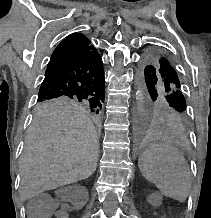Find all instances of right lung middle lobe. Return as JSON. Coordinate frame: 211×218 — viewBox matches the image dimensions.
Returning <instances> with one entry per match:
<instances>
[{
  "label": "right lung middle lobe",
  "mask_w": 211,
  "mask_h": 218,
  "mask_svg": "<svg viewBox=\"0 0 211 218\" xmlns=\"http://www.w3.org/2000/svg\"><path fill=\"white\" fill-rule=\"evenodd\" d=\"M65 105H81L94 114H98L102 108L100 101L90 98L48 97L37 99V107L39 109H49Z\"/></svg>",
  "instance_id": "obj_1"
}]
</instances>
